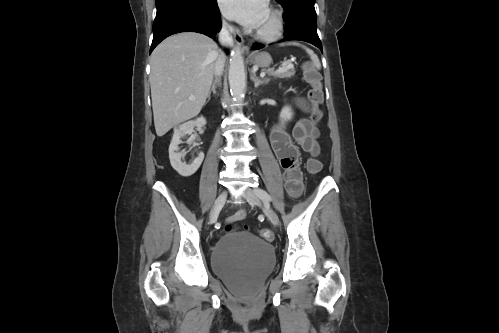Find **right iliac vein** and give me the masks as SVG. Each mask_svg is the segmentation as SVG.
I'll use <instances>...</instances> for the list:
<instances>
[{"instance_id":"1","label":"right iliac vein","mask_w":499,"mask_h":333,"mask_svg":"<svg viewBox=\"0 0 499 333\" xmlns=\"http://www.w3.org/2000/svg\"><path fill=\"white\" fill-rule=\"evenodd\" d=\"M227 198V192L223 191L218 198L215 200L209 215V222L213 223L217 220L221 208Z\"/></svg>"}]
</instances>
